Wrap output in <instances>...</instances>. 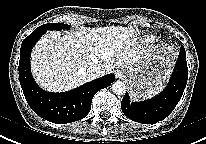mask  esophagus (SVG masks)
Here are the masks:
<instances>
[{"mask_svg":"<svg viewBox=\"0 0 206 144\" xmlns=\"http://www.w3.org/2000/svg\"><path fill=\"white\" fill-rule=\"evenodd\" d=\"M125 76V73L123 72V71H117L116 72V77L118 78V79H121V78H123Z\"/></svg>","mask_w":206,"mask_h":144,"instance_id":"esophagus-1","label":"esophagus"}]
</instances>
